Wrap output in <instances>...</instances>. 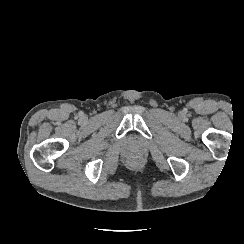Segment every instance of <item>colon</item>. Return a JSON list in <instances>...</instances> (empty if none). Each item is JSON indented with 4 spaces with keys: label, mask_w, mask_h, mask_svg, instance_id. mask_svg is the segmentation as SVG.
Here are the masks:
<instances>
[{
    "label": "colon",
    "mask_w": 244,
    "mask_h": 244,
    "mask_svg": "<svg viewBox=\"0 0 244 244\" xmlns=\"http://www.w3.org/2000/svg\"><path fill=\"white\" fill-rule=\"evenodd\" d=\"M128 163H129V166L130 167H133L134 168V167H137L138 166V163L139 162H138V159L137 158H134L133 157V158H130L129 159V162Z\"/></svg>",
    "instance_id": "5ec220e1"
}]
</instances>
